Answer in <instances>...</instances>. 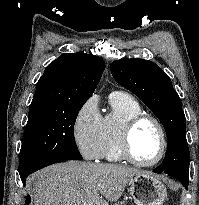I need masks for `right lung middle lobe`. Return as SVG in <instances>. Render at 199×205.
<instances>
[{
	"instance_id": "obj_1",
	"label": "right lung middle lobe",
	"mask_w": 199,
	"mask_h": 205,
	"mask_svg": "<svg viewBox=\"0 0 199 205\" xmlns=\"http://www.w3.org/2000/svg\"><path fill=\"white\" fill-rule=\"evenodd\" d=\"M85 102L61 103L29 112L19 156L20 175L50 160L82 159L73 130Z\"/></svg>"
}]
</instances>
